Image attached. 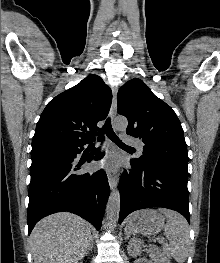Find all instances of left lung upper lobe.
<instances>
[{
    "instance_id": "1",
    "label": "left lung upper lobe",
    "mask_w": 220,
    "mask_h": 263,
    "mask_svg": "<svg viewBox=\"0 0 220 263\" xmlns=\"http://www.w3.org/2000/svg\"><path fill=\"white\" fill-rule=\"evenodd\" d=\"M117 101L118 113L128 119L126 133L144 144L136 162L166 165L188 175L187 146L173 109L137 78L119 89Z\"/></svg>"
}]
</instances>
